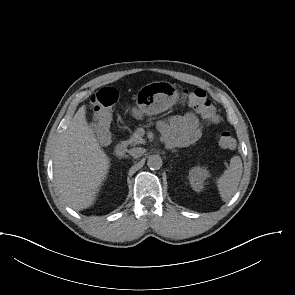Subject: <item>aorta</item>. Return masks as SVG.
<instances>
[{
  "instance_id": "aorta-1",
  "label": "aorta",
  "mask_w": 295,
  "mask_h": 295,
  "mask_svg": "<svg viewBox=\"0 0 295 295\" xmlns=\"http://www.w3.org/2000/svg\"><path fill=\"white\" fill-rule=\"evenodd\" d=\"M162 164V158L159 155H151L148 157L147 165L151 170H159Z\"/></svg>"
}]
</instances>
